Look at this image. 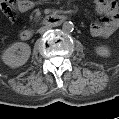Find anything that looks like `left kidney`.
<instances>
[{
    "mask_svg": "<svg viewBox=\"0 0 119 119\" xmlns=\"http://www.w3.org/2000/svg\"><path fill=\"white\" fill-rule=\"evenodd\" d=\"M97 55L101 57H108L110 55V50L104 45L97 46L95 48Z\"/></svg>",
    "mask_w": 119,
    "mask_h": 119,
    "instance_id": "5707ae66",
    "label": "left kidney"
}]
</instances>
